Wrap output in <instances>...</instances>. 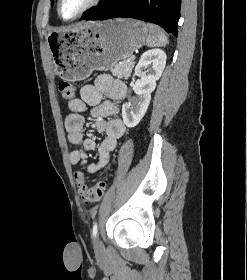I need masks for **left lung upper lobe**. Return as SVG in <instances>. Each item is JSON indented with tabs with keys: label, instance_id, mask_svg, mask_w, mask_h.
<instances>
[{
	"label": "left lung upper lobe",
	"instance_id": "5c2ea615",
	"mask_svg": "<svg viewBox=\"0 0 247 280\" xmlns=\"http://www.w3.org/2000/svg\"><path fill=\"white\" fill-rule=\"evenodd\" d=\"M51 1H53V0H51ZM109 0H102V2L100 3V5H103V4H105V3H107Z\"/></svg>",
	"mask_w": 247,
	"mask_h": 280
}]
</instances>
